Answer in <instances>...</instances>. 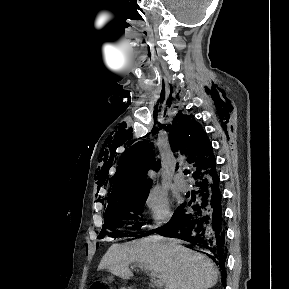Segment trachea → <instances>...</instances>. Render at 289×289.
I'll use <instances>...</instances> for the list:
<instances>
[{
	"mask_svg": "<svg viewBox=\"0 0 289 289\" xmlns=\"http://www.w3.org/2000/svg\"><path fill=\"white\" fill-rule=\"evenodd\" d=\"M184 174H185V175L189 174V171H188V170H185V171H184Z\"/></svg>",
	"mask_w": 289,
	"mask_h": 289,
	"instance_id": "obj_1",
	"label": "trachea"
}]
</instances>
